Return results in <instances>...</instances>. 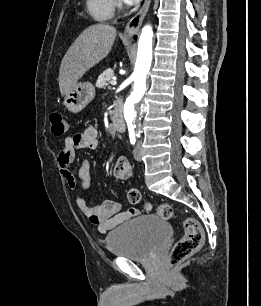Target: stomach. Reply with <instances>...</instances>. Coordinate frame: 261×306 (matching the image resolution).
Here are the masks:
<instances>
[{"mask_svg":"<svg viewBox=\"0 0 261 306\" xmlns=\"http://www.w3.org/2000/svg\"><path fill=\"white\" fill-rule=\"evenodd\" d=\"M95 88L90 82H77L65 94L64 105L72 113L82 111L94 98Z\"/></svg>","mask_w":261,"mask_h":306,"instance_id":"0dacf381","label":"stomach"}]
</instances>
